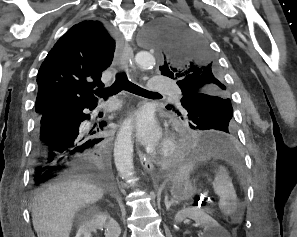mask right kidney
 Here are the masks:
<instances>
[{"mask_svg":"<svg viewBox=\"0 0 297 237\" xmlns=\"http://www.w3.org/2000/svg\"><path fill=\"white\" fill-rule=\"evenodd\" d=\"M105 228V237H119L121 228L119 224L106 212L94 213L78 231L77 237H92V232L96 229Z\"/></svg>","mask_w":297,"mask_h":237,"instance_id":"right-kidney-1","label":"right kidney"}]
</instances>
